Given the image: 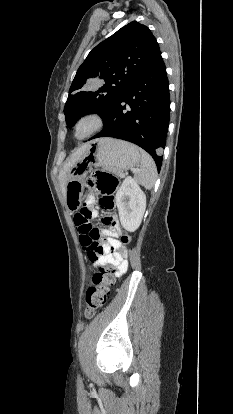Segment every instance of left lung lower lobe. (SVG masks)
Instances as JSON below:
<instances>
[{
  "mask_svg": "<svg viewBox=\"0 0 233 414\" xmlns=\"http://www.w3.org/2000/svg\"><path fill=\"white\" fill-rule=\"evenodd\" d=\"M103 120L104 129L91 139L113 137L132 142L153 157L160 171L170 120L169 82L161 52Z\"/></svg>",
  "mask_w": 233,
  "mask_h": 414,
  "instance_id": "0a47b994",
  "label": "left lung lower lobe"
}]
</instances>
